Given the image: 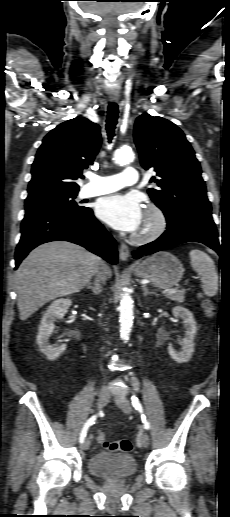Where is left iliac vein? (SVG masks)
I'll return each instance as SVG.
<instances>
[{
    "label": "left iliac vein",
    "instance_id": "4c4485c4",
    "mask_svg": "<svg viewBox=\"0 0 230 517\" xmlns=\"http://www.w3.org/2000/svg\"><path fill=\"white\" fill-rule=\"evenodd\" d=\"M115 403L117 406L126 414H130L132 411V406L129 400L124 395H117L114 397ZM150 444L149 435L144 432L138 438V445L147 448Z\"/></svg>",
    "mask_w": 230,
    "mask_h": 517
}]
</instances>
